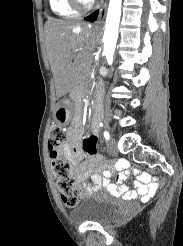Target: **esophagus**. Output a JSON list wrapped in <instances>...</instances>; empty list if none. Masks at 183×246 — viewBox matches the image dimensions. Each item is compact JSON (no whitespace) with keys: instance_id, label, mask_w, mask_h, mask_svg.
Here are the masks:
<instances>
[{"instance_id":"34e87169","label":"esophagus","mask_w":183,"mask_h":246,"mask_svg":"<svg viewBox=\"0 0 183 246\" xmlns=\"http://www.w3.org/2000/svg\"><path fill=\"white\" fill-rule=\"evenodd\" d=\"M107 5H108V0L103 1L100 4L99 10H98V17L95 21L96 26H100L104 22L106 11H107Z\"/></svg>"}]
</instances>
